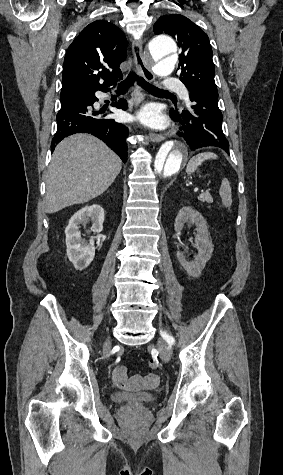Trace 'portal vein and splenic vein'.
Wrapping results in <instances>:
<instances>
[{
    "mask_svg": "<svg viewBox=\"0 0 283 475\" xmlns=\"http://www.w3.org/2000/svg\"><path fill=\"white\" fill-rule=\"evenodd\" d=\"M200 194H201V195H204V194H205V191H204V190H201V191H200Z\"/></svg>",
    "mask_w": 283,
    "mask_h": 475,
    "instance_id": "portal-vein-and-splenic-vein-1",
    "label": "portal vein and splenic vein"
}]
</instances>
